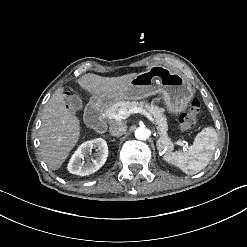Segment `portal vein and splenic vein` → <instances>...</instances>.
<instances>
[{"instance_id": "portal-vein-and-splenic-vein-1", "label": "portal vein and splenic vein", "mask_w": 247, "mask_h": 247, "mask_svg": "<svg viewBox=\"0 0 247 247\" xmlns=\"http://www.w3.org/2000/svg\"><path fill=\"white\" fill-rule=\"evenodd\" d=\"M133 113H141V114L145 115L150 121L154 120L152 115L141 107H134V108H131L129 110L121 109V110H119L118 114H114L111 117H112V119H115V120H122V119L128 118L130 116V114H133ZM176 143L181 145L182 148H186L188 146V144L185 140H179Z\"/></svg>"}]
</instances>
